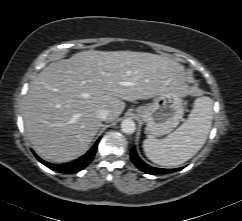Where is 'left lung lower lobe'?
<instances>
[{
  "instance_id": "left-lung-lower-lobe-1",
  "label": "left lung lower lobe",
  "mask_w": 242,
  "mask_h": 221,
  "mask_svg": "<svg viewBox=\"0 0 242 221\" xmlns=\"http://www.w3.org/2000/svg\"><path fill=\"white\" fill-rule=\"evenodd\" d=\"M131 159L133 161V163L143 172L148 173V174H162V173H170V172H174V171H179L183 168H176V169H162V168H155V167H151L148 164H146L145 162H143L139 156L137 155L136 149L135 147L132 148L131 150Z\"/></svg>"
}]
</instances>
